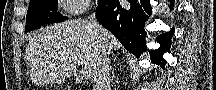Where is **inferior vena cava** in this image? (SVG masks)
I'll use <instances>...</instances> for the list:
<instances>
[{
  "label": "inferior vena cava",
  "instance_id": "1",
  "mask_svg": "<svg viewBox=\"0 0 216 90\" xmlns=\"http://www.w3.org/2000/svg\"><path fill=\"white\" fill-rule=\"evenodd\" d=\"M109 54L110 52L103 50L100 60H98L94 70L91 72L95 84L94 90H111Z\"/></svg>",
  "mask_w": 216,
  "mask_h": 90
}]
</instances>
